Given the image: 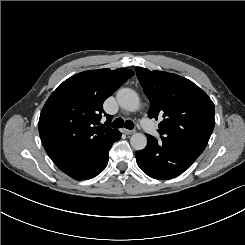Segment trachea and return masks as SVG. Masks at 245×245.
I'll return each mask as SVG.
<instances>
[{
	"instance_id": "trachea-1",
	"label": "trachea",
	"mask_w": 245,
	"mask_h": 245,
	"mask_svg": "<svg viewBox=\"0 0 245 245\" xmlns=\"http://www.w3.org/2000/svg\"><path fill=\"white\" fill-rule=\"evenodd\" d=\"M113 128H122L125 127L126 129H133L134 128V123L130 120H124L122 118H117L113 123H112Z\"/></svg>"
}]
</instances>
